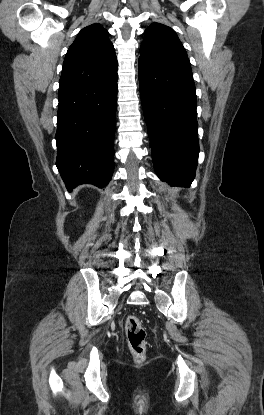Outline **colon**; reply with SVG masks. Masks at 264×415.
Instances as JSON below:
<instances>
[{
	"label": "colon",
	"instance_id": "1",
	"mask_svg": "<svg viewBox=\"0 0 264 415\" xmlns=\"http://www.w3.org/2000/svg\"><path fill=\"white\" fill-rule=\"evenodd\" d=\"M125 330L130 351L138 362L143 361L146 354V331L140 319L134 315L128 316Z\"/></svg>",
	"mask_w": 264,
	"mask_h": 415
}]
</instances>
